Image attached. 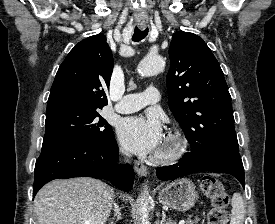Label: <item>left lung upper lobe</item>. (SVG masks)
Returning a JSON list of instances; mask_svg holds the SVG:
<instances>
[{"mask_svg":"<svg viewBox=\"0 0 275 224\" xmlns=\"http://www.w3.org/2000/svg\"><path fill=\"white\" fill-rule=\"evenodd\" d=\"M169 57V108L191 149L238 150L231 96L209 47L199 36L178 31L172 36Z\"/></svg>","mask_w":275,"mask_h":224,"instance_id":"obj_1","label":"left lung upper lobe"}]
</instances>
